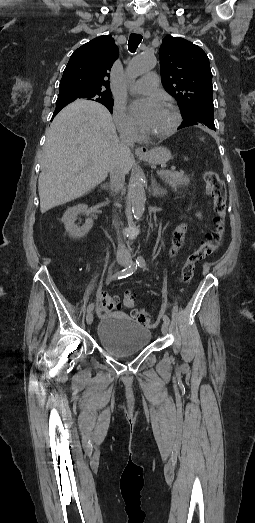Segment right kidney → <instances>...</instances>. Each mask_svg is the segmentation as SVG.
I'll list each match as a JSON object with an SVG mask.
<instances>
[{
	"instance_id": "ca27d5eb",
	"label": "right kidney",
	"mask_w": 255,
	"mask_h": 523,
	"mask_svg": "<svg viewBox=\"0 0 255 523\" xmlns=\"http://www.w3.org/2000/svg\"><path fill=\"white\" fill-rule=\"evenodd\" d=\"M87 208L88 206H85V204H78V206L68 208L63 218H61V222H63L66 228V232H68L71 238H83V236H85V234H88L89 230H91L93 226V220H91V218H88L84 226H81V228L74 224L78 214H88Z\"/></svg>"
}]
</instances>
